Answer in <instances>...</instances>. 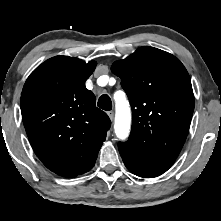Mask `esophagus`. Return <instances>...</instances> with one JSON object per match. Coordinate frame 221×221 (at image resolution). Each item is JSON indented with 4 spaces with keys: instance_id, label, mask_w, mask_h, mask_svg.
<instances>
[{
    "instance_id": "1",
    "label": "esophagus",
    "mask_w": 221,
    "mask_h": 221,
    "mask_svg": "<svg viewBox=\"0 0 221 221\" xmlns=\"http://www.w3.org/2000/svg\"><path fill=\"white\" fill-rule=\"evenodd\" d=\"M107 115L109 116L111 121L114 119V112L113 111H108Z\"/></svg>"
}]
</instances>
